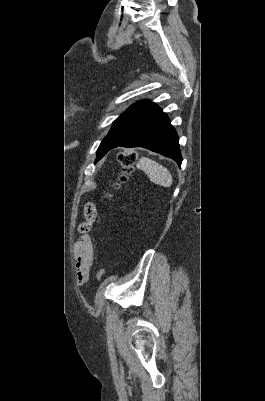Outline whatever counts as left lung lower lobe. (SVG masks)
I'll use <instances>...</instances> for the list:
<instances>
[{
  "instance_id": "0a47b994",
  "label": "left lung lower lobe",
  "mask_w": 265,
  "mask_h": 401,
  "mask_svg": "<svg viewBox=\"0 0 265 401\" xmlns=\"http://www.w3.org/2000/svg\"><path fill=\"white\" fill-rule=\"evenodd\" d=\"M118 146L149 149L173 159L179 167L182 162L178 135L167 115L153 103L126 119L103 139L96 161Z\"/></svg>"
}]
</instances>
